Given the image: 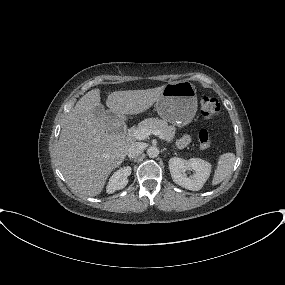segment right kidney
Returning <instances> with one entry per match:
<instances>
[{
    "instance_id": "obj_1",
    "label": "right kidney",
    "mask_w": 285,
    "mask_h": 285,
    "mask_svg": "<svg viewBox=\"0 0 285 285\" xmlns=\"http://www.w3.org/2000/svg\"><path fill=\"white\" fill-rule=\"evenodd\" d=\"M131 170L132 169L130 166H124L123 168H120L114 172V174L109 179L108 185L106 187V192L108 194H112L116 190L123 189L128 183L127 177L131 174Z\"/></svg>"
}]
</instances>
